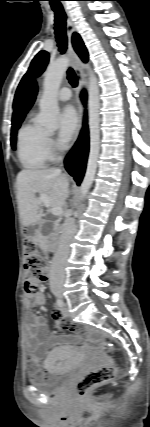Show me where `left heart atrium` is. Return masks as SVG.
Masks as SVG:
<instances>
[{
    "label": "left heart atrium",
    "mask_w": 150,
    "mask_h": 427,
    "mask_svg": "<svg viewBox=\"0 0 150 427\" xmlns=\"http://www.w3.org/2000/svg\"><path fill=\"white\" fill-rule=\"evenodd\" d=\"M78 115L72 106H66L60 114L59 140L66 144L74 137L78 128Z\"/></svg>",
    "instance_id": "1"
}]
</instances>
